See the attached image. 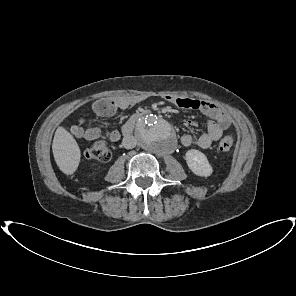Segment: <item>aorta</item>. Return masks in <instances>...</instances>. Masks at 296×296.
I'll use <instances>...</instances> for the list:
<instances>
[{"mask_svg": "<svg viewBox=\"0 0 296 296\" xmlns=\"http://www.w3.org/2000/svg\"><path fill=\"white\" fill-rule=\"evenodd\" d=\"M137 139L144 150L155 155L170 153L176 145L173 127L155 115H147L138 121Z\"/></svg>", "mask_w": 296, "mask_h": 296, "instance_id": "762f6f07", "label": "aorta"}]
</instances>
